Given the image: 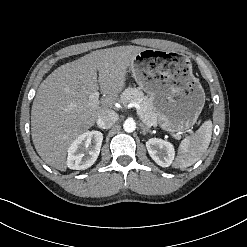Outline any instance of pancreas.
Here are the masks:
<instances>
[{
    "instance_id": "1",
    "label": "pancreas",
    "mask_w": 247,
    "mask_h": 247,
    "mask_svg": "<svg viewBox=\"0 0 247 247\" xmlns=\"http://www.w3.org/2000/svg\"><path fill=\"white\" fill-rule=\"evenodd\" d=\"M121 103L127 105L129 103H138L140 106V113L145 120L144 123H157V117L151 105V102L144 93L137 88H127L121 94Z\"/></svg>"
}]
</instances>
